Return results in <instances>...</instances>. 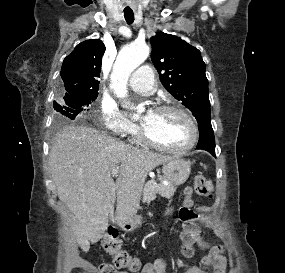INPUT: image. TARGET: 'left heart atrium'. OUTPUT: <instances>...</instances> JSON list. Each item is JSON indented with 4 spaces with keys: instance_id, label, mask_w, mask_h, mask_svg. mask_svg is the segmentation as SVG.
I'll use <instances>...</instances> for the list:
<instances>
[{
    "instance_id": "obj_1",
    "label": "left heart atrium",
    "mask_w": 285,
    "mask_h": 273,
    "mask_svg": "<svg viewBox=\"0 0 285 273\" xmlns=\"http://www.w3.org/2000/svg\"><path fill=\"white\" fill-rule=\"evenodd\" d=\"M152 113H153V111L149 110V111L146 113V116L149 117V116L152 115Z\"/></svg>"
}]
</instances>
